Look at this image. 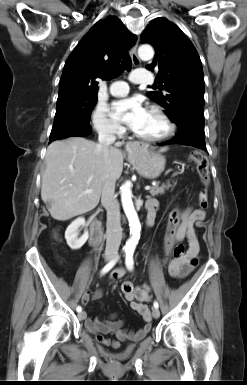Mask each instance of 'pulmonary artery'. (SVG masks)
Instances as JSON below:
<instances>
[{
	"instance_id": "1",
	"label": "pulmonary artery",
	"mask_w": 247,
	"mask_h": 385,
	"mask_svg": "<svg viewBox=\"0 0 247 385\" xmlns=\"http://www.w3.org/2000/svg\"><path fill=\"white\" fill-rule=\"evenodd\" d=\"M129 79L136 84H148L151 82L148 72L144 69H138L134 71ZM129 90V86L125 81H114L109 87V91L114 96H123Z\"/></svg>"
}]
</instances>
